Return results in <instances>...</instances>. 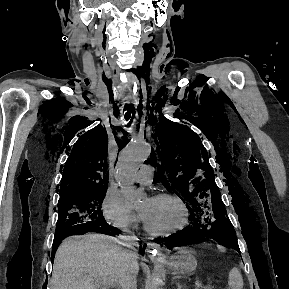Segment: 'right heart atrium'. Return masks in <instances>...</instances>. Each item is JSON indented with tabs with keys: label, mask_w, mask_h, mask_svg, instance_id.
I'll return each mask as SVG.
<instances>
[{
	"label": "right heart atrium",
	"mask_w": 289,
	"mask_h": 289,
	"mask_svg": "<svg viewBox=\"0 0 289 289\" xmlns=\"http://www.w3.org/2000/svg\"><path fill=\"white\" fill-rule=\"evenodd\" d=\"M102 212L106 222L124 232H131L137 225V216L128 208L116 192L109 190L102 203Z\"/></svg>",
	"instance_id": "obj_1"
}]
</instances>
